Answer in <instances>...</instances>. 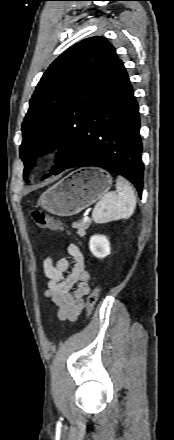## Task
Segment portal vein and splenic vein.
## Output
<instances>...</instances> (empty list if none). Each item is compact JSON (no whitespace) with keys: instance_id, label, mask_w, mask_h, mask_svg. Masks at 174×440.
Instances as JSON below:
<instances>
[{"instance_id":"18ae733b","label":"portal vein and splenic vein","mask_w":174,"mask_h":440,"mask_svg":"<svg viewBox=\"0 0 174 440\" xmlns=\"http://www.w3.org/2000/svg\"><path fill=\"white\" fill-rule=\"evenodd\" d=\"M83 221H85V222L89 221V217H88V216H85V217L83 218Z\"/></svg>"}]
</instances>
